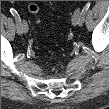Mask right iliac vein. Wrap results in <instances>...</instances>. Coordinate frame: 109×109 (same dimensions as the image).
Here are the masks:
<instances>
[{"label":"right iliac vein","mask_w":109,"mask_h":109,"mask_svg":"<svg viewBox=\"0 0 109 109\" xmlns=\"http://www.w3.org/2000/svg\"><path fill=\"white\" fill-rule=\"evenodd\" d=\"M21 25L23 28V33H27L28 32V25H27L26 21L22 20Z\"/></svg>","instance_id":"1"}]
</instances>
